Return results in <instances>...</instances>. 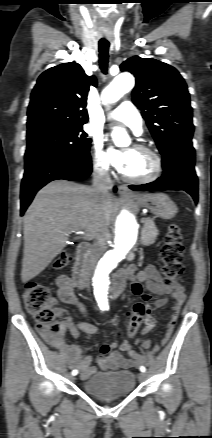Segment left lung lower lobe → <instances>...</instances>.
<instances>
[{
  "label": "left lung lower lobe",
  "mask_w": 212,
  "mask_h": 438,
  "mask_svg": "<svg viewBox=\"0 0 212 438\" xmlns=\"http://www.w3.org/2000/svg\"><path fill=\"white\" fill-rule=\"evenodd\" d=\"M164 173L156 181L143 185H130L134 191L185 190L197 203L198 178L195 173V150L191 141L179 142L162 154Z\"/></svg>",
  "instance_id": "left-lung-lower-lobe-1"
}]
</instances>
